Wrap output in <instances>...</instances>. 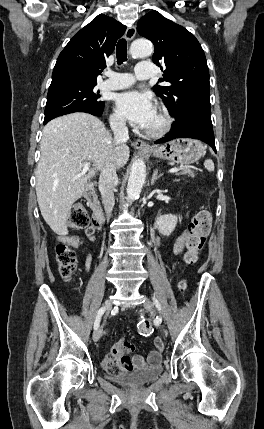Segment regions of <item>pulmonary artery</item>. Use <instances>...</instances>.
<instances>
[{"mask_svg": "<svg viewBox=\"0 0 264 429\" xmlns=\"http://www.w3.org/2000/svg\"><path fill=\"white\" fill-rule=\"evenodd\" d=\"M108 79L101 83V87L108 90H119L131 86L135 79L145 80L154 76V66L150 62H141L136 66L134 75L108 71Z\"/></svg>", "mask_w": 264, "mask_h": 429, "instance_id": "obj_1", "label": "pulmonary artery"}]
</instances>
